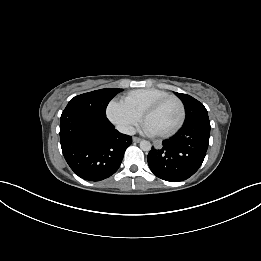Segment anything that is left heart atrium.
Listing matches in <instances>:
<instances>
[{"label":"left heart atrium","instance_id":"1","mask_svg":"<svg viewBox=\"0 0 261 261\" xmlns=\"http://www.w3.org/2000/svg\"><path fill=\"white\" fill-rule=\"evenodd\" d=\"M143 130L148 134H155V132L147 124H144Z\"/></svg>","mask_w":261,"mask_h":261}]
</instances>
